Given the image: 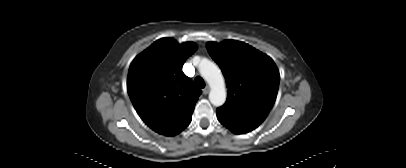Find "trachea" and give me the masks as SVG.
Returning a JSON list of instances; mask_svg holds the SVG:
<instances>
[{
    "label": "trachea",
    "instance_id": "3493384b",
    "mask_svg": "<svg viewBox=\"0 0 406 168\" xmlns=\"http://www.w3.org/2000/svg\"><path fill=\"white\" fill-rule=\"evenodd\" d=\"M194 83L198 88H204L205 87V82H204L203 78H201L199 76L195 78Z\"/></svg>",
    "mask_w": 406,
    "mask_h": 168
}]
</instances>
